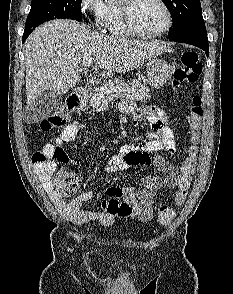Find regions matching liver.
Listing matches in <instances>:
<instances>
[{
  "instance_id": "obj_1",
  "label": "liver",
  "mask_w": 233,
  "mask_h": 294,
  "mask_svg": "<svg viewBox=\"0 0 233 294\" xmlns=\"http://www.w3.org/2000/svg\"><path fill=\"white\" fill-rule=\"evenodd\" d=\"M27 107L51 90L67 93L80 80L86 58L103 69L104 77L125 73L168 51L163 44L91 32L72 20H54L35 29L25 42Z\"/></svg>"
}]
</instances>
